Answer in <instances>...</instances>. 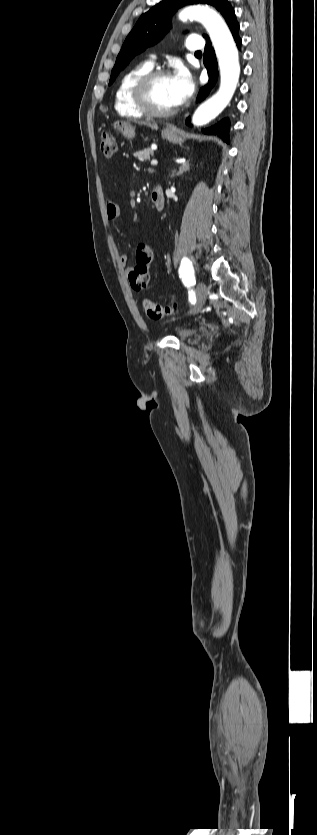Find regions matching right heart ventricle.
I'll return each instance as SVG.
<instances>
[{
    "label": "right heart ventricle",
    "mask_w": 317,
    "mask_h": 835,
    "mask_svg": "<svg viewBox=\"0 0 317 835\" xmlns=\"http://www.w3.org/2000/svg\"><path fill=\"white\" fill-rule=\"evenodd\" d=\"M150 70H152L150 63H140L122 76L115 92V109L120 115L131 118L146 116L135 104L132 90L137 80Z\"/></svg>",
    "instance_id": "e07e8e85"
}]
</instances>
